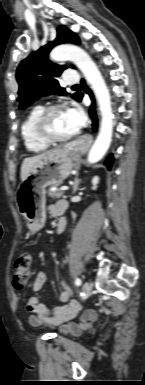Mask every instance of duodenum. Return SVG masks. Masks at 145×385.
<instances>
[{
  "mask_svg": "<svg viewBox=\"0 0 145 385\" xmlns=\"http://www.w3.org/2000/svg\"><path fill=\"white\" fill-rule=\"evenodd\" d=\"M66 226H67V218L66 217L60 218L56 225V232L58 234L62 233L65 230Z\"/></svg>",
  "mask_w": 145,
  "mask_h": 385,
  "instance_id": "obj_1",
  "label": "duodenum"
}]
</instances>
